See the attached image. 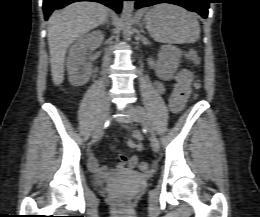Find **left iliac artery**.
<instances>
[{"label": "left iliac artery", "instance_id": "left-iliac-artery-1", "mask_svg": "<svg viewBox=\"0 0 260 217\" xmlns=\"http://www.w3.org/2000/svg\"><path fill=\"white\" fill-rule=\"evenodd\" d=\"M137 109H138L139 112L144 116V118H145V120H146L147 115H146L145 109H144L142 106H137ZM144 129H145L144 131L147 132V128L144 127Z\"/></svg>", "mask_w": 260, "mask_h": 217}]
</instances>
